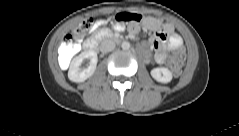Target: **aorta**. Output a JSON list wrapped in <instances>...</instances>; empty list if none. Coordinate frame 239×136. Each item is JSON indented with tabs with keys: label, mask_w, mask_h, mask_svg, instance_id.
<instances>
[{
	"label": "aorta",
	"mask_w": 239,
	"mask_h": 136,
	"mask_svg": "<svg viewBox=\"0 0 239 136\" xmlns=\"http://www.w3.org/2000/svg\"><path fill=\"white\" fill-rule=\"evenodd\" d=\"M122 49L127 50L130 48V43L129 42H123L121 45Z\"/></svg>",
	"instance_id": "762f6f07"
}]
</instances>
